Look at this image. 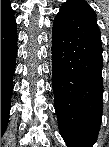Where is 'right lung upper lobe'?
<instances>
[{
  "mask_svg": "<svg viewBox=\"0 0 109 147\" xmlns=\"http://www.w3.org/2000/svg\"><path fill=\"white\" fill-rule=\"evenodd\" d=\"M14 16V11L8 0H1V23Z\"/></svg>",
  "mask_w": 109,
  "mask_h": 147,
  "instance_id": "right-lung-upper-lobe-1",
  "label": "right lung upper lobe"
}]
</instances>
